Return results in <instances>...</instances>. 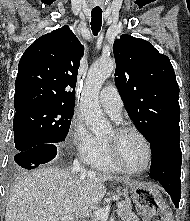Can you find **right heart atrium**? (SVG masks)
Masks as SVG:
<instances>
[{"label":"right heart atrium","mask_w":190,"mask_h":221,"mask_svg":"<svg viewBox=\"0 0 190 221\" xmlns=\"http://www.w3.org/2000/svg\"><path fill=\"white\" fill-rule=\"evenodd\" d=\"M68 139L75 154L84 162H89L96 154L99 147V139L96 138L78 117L71 121Z\"/></svg>","instance_id":"obj_1"}]
</instances>
